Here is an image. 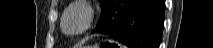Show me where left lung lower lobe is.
I'll return each mask as SVG.
<instances>
[{
  "label": "left lung lower lobe",
  "instance_id": "0a47b994",
  "mask_svg": "<svg viewBox=\"0 0 213 48\" xmlns=\"http://www.w3.org/2000/svg\"><path fill=\"white\" fill-rule=\"evenodd\" d=\"M164 0H110L94 33L113 36L129 48H159Z\"/></svg>",
  "mask_w": 213,
  "mask_h": 48
}]
</instances>
